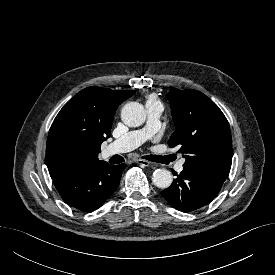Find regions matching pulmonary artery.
I'll return each instance as SVG.
<instances>
[{
    "label": "pulmonary artery",
    "mask_w": 275,
    "mask_h": 275,
    "mask_svg": "<svg viewBox=\"0 0 275 275\" xmlns=\"http://www.w3.org/2000/svg\"><path fill=\"white\" fill-rule=\"evenodd\" d=\"M147 111L146 125L140 129L127 133L121 138L112 142L106 149L108 156L131 151L151 139L160 126V116L163 111V106L158 100H148L145 104ZM185 159H181L177 165L176 170L181 172L183 170Z\"/></svg>",
    "instance_id": "obj_1"
}]
</instances>
